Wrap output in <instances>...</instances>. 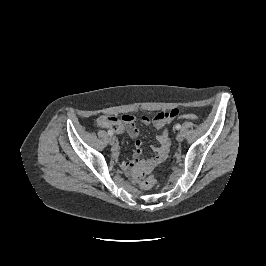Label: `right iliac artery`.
<instances>
[{"mask_svg":"<svg viewBox=\"0 0 266 266\" xmlns=\"http://www.w3.org/2000/svg\"><path fill=\"white\" fill-rule=\"evenodd\" d=\"M114 132L112 130H108V135L112 136Z\"/></svg>","mask_w":266,"mask_h":266,"instance_id":"1","label":"right iliac artery"}]
</instances>
